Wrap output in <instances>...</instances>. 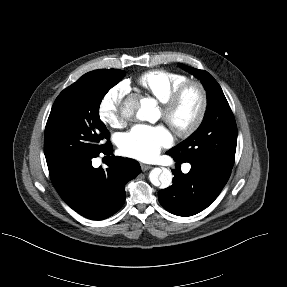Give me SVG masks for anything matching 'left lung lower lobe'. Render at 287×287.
Here are the masks:
<instances>
[{
	"label": "left lung lower lobe",
	"mask_w": 287,
	"mask_h": 287,
	"mask_svg": "<svg viewBox=\"0 0 287 287\" xmlns=\"http://www.w3.org/2000/svg\"><path fill=\"white\" fill-rule=\"evenodd\" d=\"M173 159L177 165L182 162L190 163L191 169L187 174L172 170L173 184L158 192L159 202L172 214L185 217L195 215L217 198L227 183L231 170L202 159Z\"/></svg>",
	"instance_id": "1"
}]
</instances>
